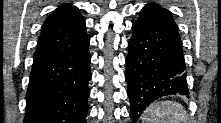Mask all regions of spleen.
I'll return each mask as SVG.
<instances>
[{
    "label": "spleen",
    "mask_w": 221,
    "mask_h": 123,
    "mask_svg": "<svg viewBox=\"0 0 221 123\" xmlns=\"http://www.w3.org/2000/svg\"><path fill=\"white\" fill-rule=\"evenodd\" d=\"M142 123H187V113L177 102L157 101L146 108Z\"/></svg>",
    "instance_id": "spleen-1"
}]
</instances>
